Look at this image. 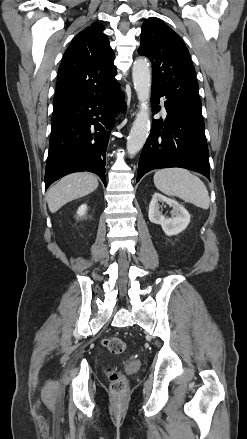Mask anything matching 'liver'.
<instances>
[{"label": "liver", "mask_w": 247, "mask_h": 439, "mask_svg": "<svg viewBox=\"0 0 247 439\" xmlns=\"http://www.w3.org/2000/svg\"><path fill=\"white\" fill-rule=\"evenodd\" d=\"M97 187L98 179L91 173L79 172L63 177L47 192L50 212H57L66 203L92 193Z\"/></svg>", "instance_id": "liver-1"}]
</instances>
